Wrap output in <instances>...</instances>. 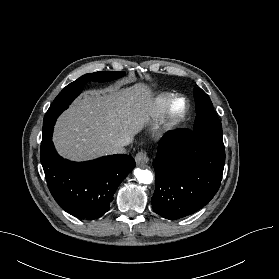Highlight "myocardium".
<instances>
[{"label":"myocardium","instance_id":"myocardium-1","mask_svg":"<svg viewBox=\"0 0 279 279\" xmlns=\"http://www.w3.org/2000/svg\"><path fill=\"white\" fill-rule=\"evenodd\" d=\"M182 101L183 107L179 112H174V105L176 102ZM189 111V103L183 96H174L168 102L163 113L165 125L169 128L175 127L182 123Z\"/></svg>","mask_w":279,"mask_h":279}]
</instances>
